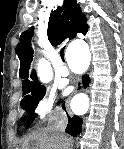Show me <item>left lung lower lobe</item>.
<instances>
[{"label":"left lung lower lobe","mask_w":124,"mask_h":149,"mask_svg":"<svg viewBox=\"0 0 124 149\" xmlns=\"http://www.w3.org/2000/svg\"><path fill=\"white\" fill-rule=\"evenodd\" d=\"M83 84L84 87H87V85L89 84V77L87 75L83 76Z\"/></svg>","instance_id":"1"}]
</instances>
